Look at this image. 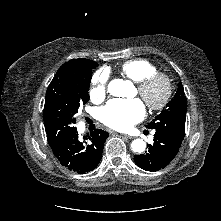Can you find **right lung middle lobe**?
<instances>
[{
    "label": "right lung middle lobe",
    "mask_w": 221,
    "mask_h": 221,
    "mask_svg": "<svg viewBox=\"0 0 221 221\" xmlns=\"http://www.w3.org/2000/svg\"><path fill=\"white\" fill-rule=\"evenodd\" d=\"M92 66L76 65L66 69L51 81L45 97L43 119L49 145L66 139L76 131V113L89 101Z\"/></svg>",
    "instance_id": "dd1d6c3e"
}]
</instances>
